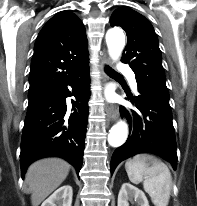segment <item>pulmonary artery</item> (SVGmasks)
I'll use <instances>...</instances> for the list:
<instances>
[{
  "instance_id": "obj_1",
  "label": "pulmonary artery",
  "mask_w": 197,
  "mask_h": 206,
  "mask_svg": "<svg viewBox=\"0 0 197 206\" xmlns=\"http://www.w3.org/2000/svg\"><path fill=\"white\" fill-rule=\"evenodd\" d=\"M119 69H120L122 72H126V73L128 74L129 80H130V83H131V86H132L134 89H136V88H137V83H136V79H135L134 73H133L130 69H128V68L126 67V65H124V64H120V65H119Z\"/></svg>"
}]
</instances>
